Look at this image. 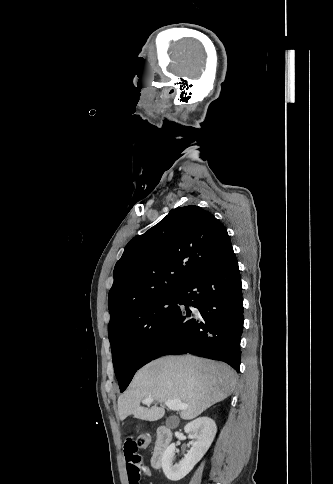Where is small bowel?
<instances>
[{
    "label": "small bowel",
    "instance_id": "obj_1",
    "mask_svg": "<svg viewBox=\"0 0 333 484\" xmlns=\"http://www.w3.org/2000/svg\"><path fill=\"white\" fill-rule=\"evenodd\" d=\"M136 442L128 438L125 441L124 452L127 466L129 484H141V475L151 476V470L145 465L143 458L138 454Z\"/></svg>",
    "mask_w": 333,
    "mask_h": 484
}]
</instances>
